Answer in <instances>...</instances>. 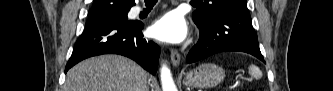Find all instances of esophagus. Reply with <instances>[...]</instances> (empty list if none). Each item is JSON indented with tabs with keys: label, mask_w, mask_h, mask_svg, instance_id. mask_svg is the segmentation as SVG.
Instances as JSON below:
<instances>
[{
	"label": "esophagus",
	"mask_w": 333,
	"mask_h": 91,
	"mask_svg": "<svg viewBox=\"0 0 333 91\" xmlns=\"http://www.w3.org/2000/svg\"><path fill=\"white\" fill-rule=\"evenodd\" d=\"M180 54L177 50L175 49H172L171 51V61H172V64L173 66H178L179 63H180Z\"/></svg>",
	"instance_id": "obj_1"
}]
</instances>
